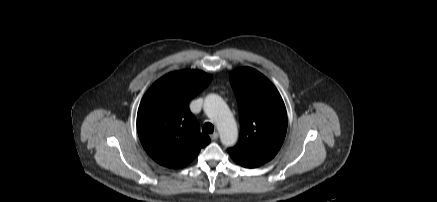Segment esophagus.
I'll return each mask as SVG.
<instances>
[{
	"instance_id": "obj_1",
	"label": "esophagus",
	"mask_w": 437,
	"mask_h": 202,
	"mask_svg": "<svg viewBox=\"0 0 437 202\" xmlns=\"http://www.w3.org/2000/svg\"><path fill=\"white\" fill-rule=\"evenodd\" d=\"M219 134L217 132H214L213 134L210 135L211 140H217L218 139Z\"/></svg>"
}]
</instances>
